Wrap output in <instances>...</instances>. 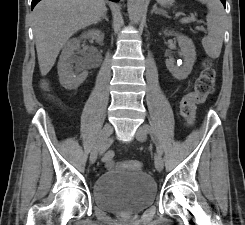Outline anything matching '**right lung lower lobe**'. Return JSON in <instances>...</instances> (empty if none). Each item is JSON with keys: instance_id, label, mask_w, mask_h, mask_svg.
I'll return each instance as SVG.
<instances>
[{"instance_id": "98d812e1", "label": "right lung lower lobe", "mask_w": 245, "mask_h": 225, "mask_svg": "<svg viewBox=\"0 0 245 225\" xmlns=\"http://www.w3.org/2000/svg\"><path fill=\"white\" fill-rule=\"evenodd\" d=\"M39 1H40V0H32V4H31L32 9L34 8V6H35ZM111 1H119V0H111Z\"/></svg>"}]
</instances>
